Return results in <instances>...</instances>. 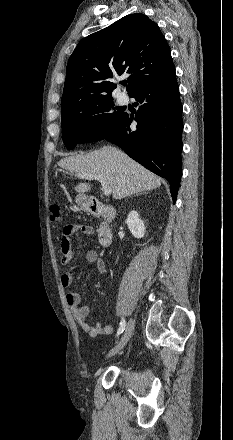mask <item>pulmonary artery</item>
<instances>
[{"instance_id": "1", "label": "pulmonary artery", "mask_w": 233, "mask_h": 440, "mask_svg": "<svg viewBox=\"0 0 233 440\" xmlns=\"http://www.w3.org/2000/svg\"><path fill=\"white\" fill-rule=\"evenodd\" d=\"M119 101L122 102V103L125 102L126 101V96L122 95V94L119 95Z\"/></svg>"}]
</instances>
